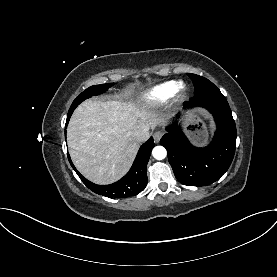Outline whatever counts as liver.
Returning <instances> with one entry per match:
<instances>
[{"label": "liver", "mask_w": 277, "mask_h": 277, "mask_svg": "<svg viewBox=\"0 0 277 277\" xmlns=\"http://www.w3.org/2000/svg\"><path fill=\"white\" fill-rule=\"evenodd\" d=\"M164 119L132 102L89 99L74 111L67 128V144L78 171L105 185L123 177L139 148L134 132Z\"/></svg>", "instance_id": "obj_1"}]
</instances>
